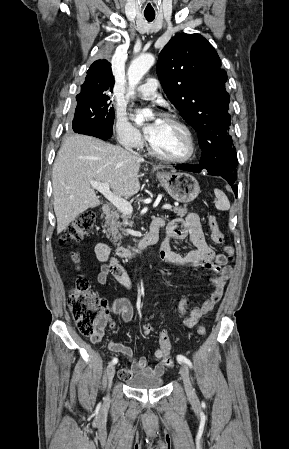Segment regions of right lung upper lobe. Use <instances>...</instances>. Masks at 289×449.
<instances>
[{
    "label": "right lung upper lobe",
    "mask_w": 289,
    "mask_h": 449,
    "mask_svg": "<svg viewBox=\"0 0 289 449\" xmlns=\"http://www.w3.org/2000/svg\"><path fill=\"white\" fill-rule=\"evenodd\" d=\"M115 80L111 64L106 60H97L89 67L80 94H95L99 91H113Z\"/></svg>",
    "instance_id": "cb5924a9"
}]
</instances>
